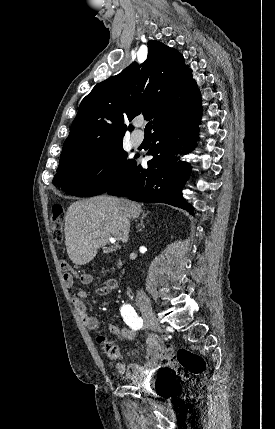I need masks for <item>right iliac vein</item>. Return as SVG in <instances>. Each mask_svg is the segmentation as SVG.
Returning <instances> with one entry per match:
<instances>
[{
    "label": "right iliac vein",
    "instance_id": "obj_1",
    "mask_svg": "<svg viewBox=\"0 0 275 429\" xmlns=\"http://www.w3.org/2000/svg\"><path fill=\"white\" fill-rule=\"evenodd\" d=\"M139 309L141 311L142 317L145 323L152 329L161 330L160 324L156 319V316L151 308V306L147 303H141L139 305Z\"/></svg>",
    "mask_w": 275,
    "mask_h": 429
}]
</instances>
